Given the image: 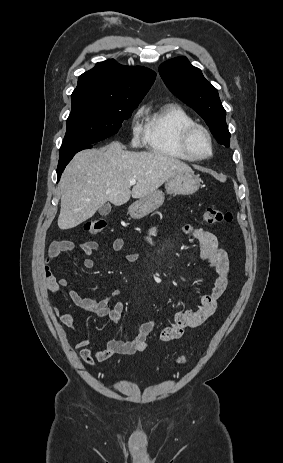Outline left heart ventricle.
I'll use <instances>...</instances> for the list:
<instances>
[{
    "label": "left heart ventricle",
    "mask_w": 283,
    "mask_h": 463,
    "mask_svg": "<svg viewBox=\"0 0 283 463\" xmlns=\"http://www.w3.org/2000/svg\"><path fill=\"white\" fill-rule=\"evenodd\" d=\"M192 145L194 150L200 155H207L209 153L210 148L208 139L201 132H197L194 134L192 139Z\"/></svg>",
    "instance_id": "b2bd125f"
}]
</instances>
